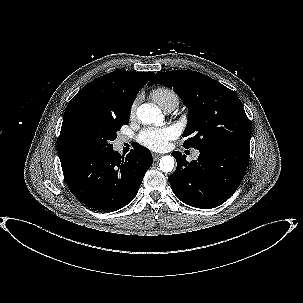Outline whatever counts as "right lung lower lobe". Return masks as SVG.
Wrapping results in <instances>:
<instances>
[{"label":"right lung lower lobe","instance_id":"obj_1","mask_svg":"<svg viewBox=\"0 0 303 303\" xmlns=\"http://www.w3.org/2000/svg\"><path fill=\"white\" fill-rule=\"evenodd\" d=\"M60 161L71 193L97 211H116L129 204L153 163L150 151L139 145L126 156L111 148Z\"/></svg>","mask_w":303,"mask_h":303}]
</instances>
